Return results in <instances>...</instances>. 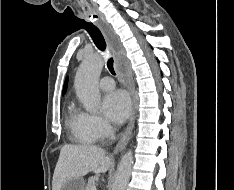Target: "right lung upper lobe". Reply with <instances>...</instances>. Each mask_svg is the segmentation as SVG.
<instances>
[{
	"instance_id": "obj_1",
	"label": "right lung upper lobe",
	"mask_w": 234,
	"mask_h": 190,
	"mask_svg": "<svg viewBox=\"0 0 234 190\" xmlns=\"http://www.w3.org/2000/svg\"><path fill=\"white\" fill-rule=\"evenodd\" d=\"M67 81H68V79H66V81H65V84H64V87H63V94L65 93L66 88H67Z\"/></svg>"
}]
</instances>
